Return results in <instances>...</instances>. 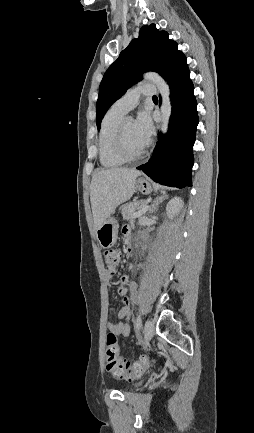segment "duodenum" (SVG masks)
I'll list each match as a JSON object with an SVG mask.
<instances>
[{"mask_svg": "<svg viewBox=\"0 0 254 433\" xmlns=\"http://www.w3.org/2000/svg\"><path fill=\"white\" fill-rule=\"evenodd\" d=\"M126 247H127V249H128L129 251L132 250V248H133V243H132V239H131V237L128 238V240H127V242H126Z\"/></svg>", "mask_w": 254, "mask_h": 433, "instance_id": "obj_1", "label": "duodenum"}]
</instances>
